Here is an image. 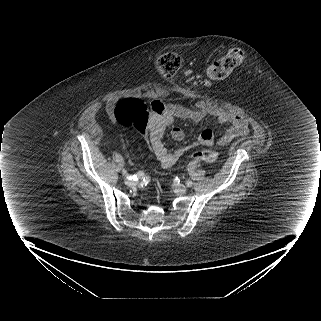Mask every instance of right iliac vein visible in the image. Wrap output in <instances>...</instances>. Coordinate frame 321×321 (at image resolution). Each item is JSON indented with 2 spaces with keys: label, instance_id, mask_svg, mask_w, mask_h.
Returning <instances> with one entry per match:
<instances>
[{
  "label": "right iliac vein",
  "instance_id": "63e3f726",
  "mask_svg": "<svg viewBox=\"0 0 321 321\" xmlns=\"http://www.w3.org/2000/svg\"><path fill=\"white\" fill-rule=\"evenodd\" d=\"M136 182L133 179H126L125 184L128 186L134 185Z\"/></svg>",
  "mask_w": 321,
  "mask_h": 321
}]
</instances>
